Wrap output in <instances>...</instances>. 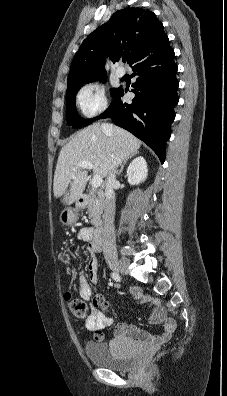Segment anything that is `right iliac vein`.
I'll list each match as a JSON object with an SVG mask.
<instances>
[{"label": "right iliac vein", "mask_w": 227, "mask_h": 396, "mask_svg": "<svg viewBox=\"0 0 227 396\" xmlns=\"http://www.w3.org/2000/svg\"><path fill=\"white\" fill-rule=\"evenodd\" d=\"M109 267L115 272H121V273L127 272V264L125 261L110 260Z\"/></svg>", "instance_id": "obj_1"}]
</instances>
